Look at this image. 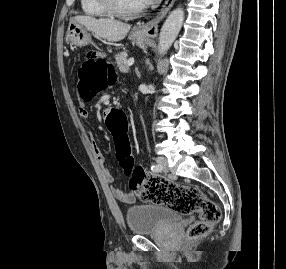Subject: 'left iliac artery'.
<instances>
[{"label": "left iliac artery", "instance_id": "left-iliac-artery-1", "mask_svg": "<svg viewBox=\"0 0 286 269\" xmlns=\"http://www.w3.org/2000/svg\"><path fill=\"white\" fill-rule=\"evenodd\" d=\"M151 170H152L153 172H160V171L162 170V166L159 165V164L152 165V166H151Z\"/></svg>", "mask_w": 286, "mask_h": 269}]
</instances>
